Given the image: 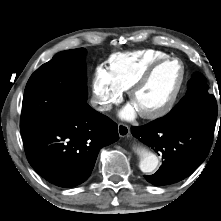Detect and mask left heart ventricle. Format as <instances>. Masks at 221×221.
<instances>
[{"instance_id":"1","label":"left heart ventricle","mask_w":221,"mask_h":221,"mask_svg":"<svg viewBox=\"0 0 221 221\" xmlns=\"http://www.w3.org/2000/svg\"><path fill=\"white\" fill-rule=\"evenodd\" d=\"M181 73L178 62H170L158 68L149 82L134 95L132 103L137 110L153 111L163 106L175 92Z\"/></svg>"}]
</instances>
